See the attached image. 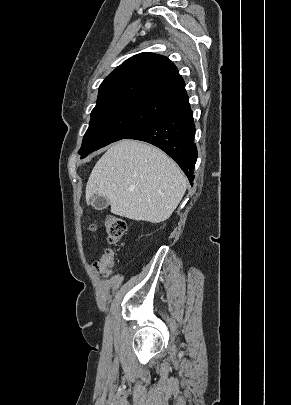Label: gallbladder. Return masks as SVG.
Listing matches in <instances>:
<instances>
[{
	"mask_svg": "<svg viewBox=\"0 0 291 405\" xmlns=\"http://www.w3.org/2000/svg\"><path fill=\"white\" fill-rule=\"evenodd\" d=\"M91 204L96 210H103L108 207L109 201L105 197L96 195L91 199Z\"/></svg>",
	"mask_w": 291,
	"mask_h": 405,
	"instance_id": "obj_1",
	"label": "gallbladder"
}]
</instances>
